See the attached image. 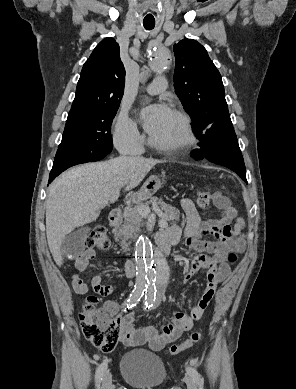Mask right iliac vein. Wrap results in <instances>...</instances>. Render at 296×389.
<instances>
[{
	"mask_svg": "<svg viewBox=\"0 0 296 389\" xmlns=\"http://www.w3.org/2000/svg\"><path fill=\"white\" fill-rule=\"evenodd\" d=\"M111 383H112V374L107 372L104 375V378H103V381H102V385H101V389H110Z\"/></svg>",
	"mask_w": 296,
	"mask_h": 389,
	"instance_id": "obj_1",
	"label": "right iliac vein"
}]
</instances>
